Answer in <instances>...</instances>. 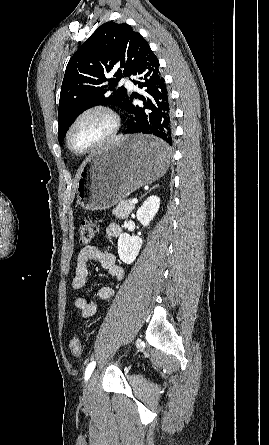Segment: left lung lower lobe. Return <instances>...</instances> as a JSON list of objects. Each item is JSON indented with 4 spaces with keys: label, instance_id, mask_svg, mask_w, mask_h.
Masks as SVG:
<instances>
[{
    "label": "left lung lower lobe",
    "instance_id": "1",
    "mask_svg": "<svg viewBox=\"0 0 269 445\" xmlns=\"http://www.w3.org/2000/svg\"><path fill=\"white\" fill-rule=\"evenodd\" d=\"M132 82L143 89L141 94L127 97L124 109L130 115L129 124L124 134L143 133L153 135L155 142L144 146L147 154L159 156L170 154L173 142L174 114L165 80L159 73V61L150 46L131 74ZM143 101L134 105L133 98Z\"/></svg>",
    "mask_w": 269,
    "mask_h": 445
}]
</instances>
